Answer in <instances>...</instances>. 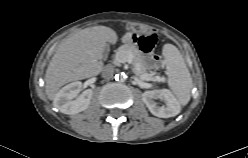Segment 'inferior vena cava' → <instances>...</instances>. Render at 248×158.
<instances>
[{
	"label": "inferior vena cava",
	"mask_w": 248,
	"mask_h": 158,
	"mask_svg": "<svg viewBox=\"0 0 248 158\" xmlns=\"http://www.w3.org/2000/svg\"><path fill=\"white\" fill-rule=\"evenodd\" d=\"M114 71H115L114 66L107 65L102 71V77L106 79H110L113 77Z\"/></svg>",
	"instance_id": "obj_1"
}]
</instances>
